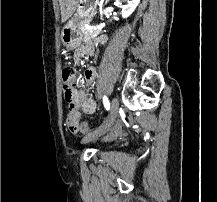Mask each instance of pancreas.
Returning <instances> with one entry per match:
<instances>
[{"label": "pancreas", "mask_w": 217, "mask_h": 202, "mask_svg": "<svg viewBox=\"0 0 217 202\" xmlns=\"http://www.w3.org/2000/svg\"><path fill=\"white\" fill-rule=\"evenodd\" d=\"M83 34H86V36L83 38L85 41H91L93 38H95L96 35H98V30H85V28H82Z\"/></svg>", "instance_id": "obj_1"}]
</instances>
